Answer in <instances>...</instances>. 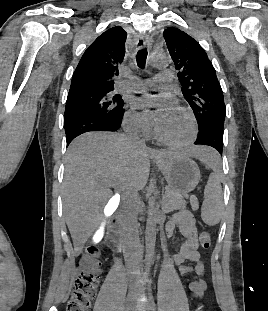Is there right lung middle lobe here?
Returning a JSON list of instances; mask_svg holds the SVG:
<instances>
[{"instance_id":"1","label":"right lung middle lobe","mask_w":268,"mask_h":311,"mask_svg":"<svg viewBox=\"0 0 268 311\" xmlns=\"http://www.w3.org/2000/svg\"><path fill=\"white\" fill-rule=\"evenodd\" d=\"M124 102L120 95H113L112 90L77 88L69 90L64 122L78 113H87L104 118L118 117Z\"/></svg>"}]
</instances>
